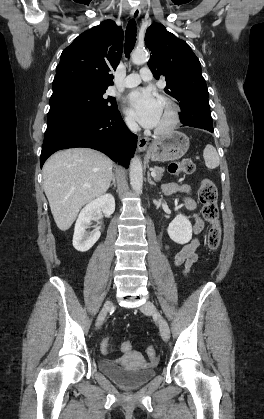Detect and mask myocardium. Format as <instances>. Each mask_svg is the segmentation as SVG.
I'll return each instance as SVG.
<instances>
[{
	"label": "myocardium",
	"instance_id": "obj_1",
	"mask_svg": "<svg viewBox=\"0 0 264 419\" xmlns=\"http://www.w3.org/2000/svg\"><path fill=\"white\" fill-rule=\"evenodd\" d=\"M160 102L168 108V115L165 123L155 129L156 134H166L173 130L180 120V108L176 101L169 96L162 95L159 98Z\"/></svg>",
	"mask_w": 264,
	"mask_h": 419
}]
</instances>
